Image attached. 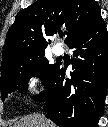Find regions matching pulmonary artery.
<instances>
[{"label": "pulmonary artery", "mask_w": 108, "mask_h": 127, "mask_svg": "<svg viewBox=\"0 0 108 127\" xmlns=\"http://www.w3.org/2000/svg\"><path fill=\"white\" fill-rule=\"evenodd\" d=\"M53 52H54L55 55L60 56V55L63 54L64 50L61 46L57 45V46L53 47Z\"/></svg>", "instance_id": "pulmonary-artery-1"}]
</instances>
